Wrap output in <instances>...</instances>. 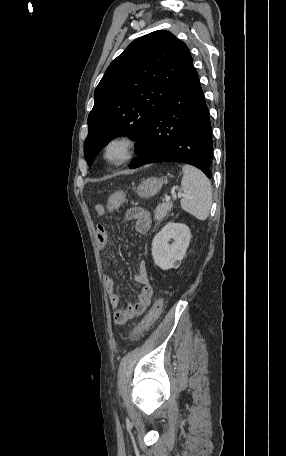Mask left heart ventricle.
Listing matches in <instances>:
<instances>
[{
  "mask_svg": "<svg viewBox=\"0 0 286 456\" xmlns=\"http://www.w3.org/2000/svg\"><path fill=\"white\" fill-rule=\"evenodd\" d=\"M125 155V144L115 143L113 144L108 151V157L111 160H119Z\"/></svg>",
  "mask_w": 286,
  "mask_h": 456,
  "instance_id": "b2bd125f",
  "label": "left heart ventricle"
}]
</instances>
